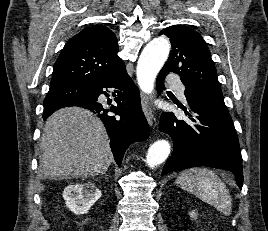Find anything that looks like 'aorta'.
<instances>
[{
    "label": "aorta",
    "instance_id": "1",
    "mask_svg": "<svg viewBox=\"0 0 268 231\" xmlns=\"http://www.w3.org/2000/svg\"><path fill=\"white\" fill-rule=\"evenodd\" d=\"M170 52V42L164 37L151 40L141 52L137 63V81L144 93L154 89L155 78L164 65ZM171 146L167 140H158L148 149L146 163L154 168L163 163L170 154Z\"/></svg>",
    "mask_w": 268,
    "mask_h": 231
}]
</instances>
